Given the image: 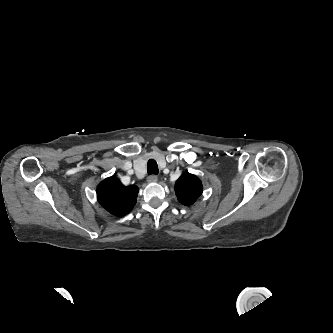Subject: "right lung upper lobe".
I'll list each match as a JSON object with an SVG mask.
<instances>
[{"mask_svg":"<svg viewBox=\"0 0 333 333\" xmlns=\"http://www.w3.org/2000/svg\"><path fill=\"white\" fill-rule=\"evenodd\" d=\"M137 194L138 188L136 186H124L114 176L106 178L97 187L99 203L115 216L131 212L136 204Z\"/></svg>","mask_w":333,"mask_h":333,"instance_id":"right-lung-upper-lobe-1","label":"right lung upper lobe"}]
</instances>
